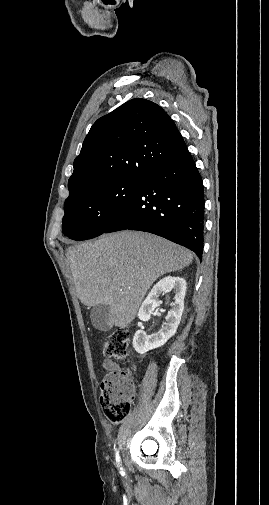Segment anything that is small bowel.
Wrapping results in <instances>:
<instances>
[{
	"instance_id": "small-bowel-1",
	"label": "small bowel",
	"mask_w": 269,
	"mask_h": 505,
	"mask_svg": "<svg viewBox=\"0 0 269 505\" xmlns=\"http://www.w3.org/2000/svg\"><path fill=\"white\" fill-rule=\"evenodd\" d=\"M104 367L111 373H115V371L118 369V365L114 363L111 360H105L104 361Z\"/></svg>"
}]
</instances>
